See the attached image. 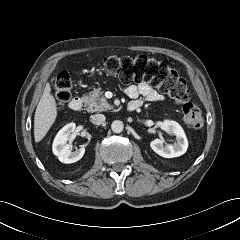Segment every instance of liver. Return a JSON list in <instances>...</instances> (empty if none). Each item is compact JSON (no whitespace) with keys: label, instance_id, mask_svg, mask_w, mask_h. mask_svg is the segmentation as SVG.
Segmentation results:
<instances>
[{"label":"liver","instance_id":"1","mask_svg":"<svg viewBox=\"0 0 240 240\" xmlns=\"http://www.w3.org/2000/svg\"><path fill=\"white\" fill-rule=\"evenodd\" d=\"M57 117L56 101L51 94L50 85L45 86L44 92L37 105L35 117H34V138L35 142H40Z\"/></svg>","mask_w":240,"mask_h":240}]
</instances>
